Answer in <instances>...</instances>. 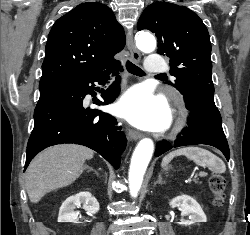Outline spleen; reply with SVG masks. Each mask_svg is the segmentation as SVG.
I'll return each instance as SVG.
<instances>
[{
    "label": "spleen",
    "instance_id": "1",
    "mask_svg": "<svg viewBox=\"0 0 250 235\" xmlns=\"http://www.w3.org/2000/svg\"><path fill=\"white\" fill-rule=\"evenodd\" d=\"M181 155L193 160L200 166H207L215 173H224L226 171V166L219 157L199 147H186L170 152L163 158L162 166H166L174 157Z\"/></svg>",
    "mask_w": 250,
    "mask_h": 235
}]
</instances>
